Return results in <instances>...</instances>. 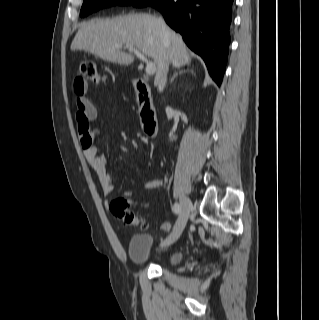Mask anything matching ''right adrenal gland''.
<instances>
[{
  "label": "right adrenal gland",
  "mask_w": 319,
  "mask_h": 320,
  "mask_svg": "<svg viewBox=\"0 0 319 320\" xmlns=\"http://www.w3.org/2000/svg\"><path fill=\"white\" fill-rule=\"evenodd\" d=\"M185 72H186L185 70H181V71H179V73H174L173 77H172L171 80H170V83H172V82L174 81L175 77H176L178 74H182V73H185ZM190 72L193 73L192 70H190Z\"/></svg>",
  "instance_id": "1"
}]
</instances>
